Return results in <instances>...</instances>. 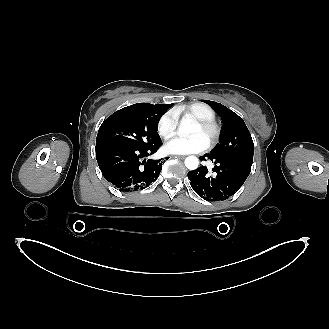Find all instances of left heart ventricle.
Returning a JSON list of instances; mask_svg holds the SVG:
<instances>
[{"instance_id": "b2bd125f", "label": "left heart ventricle", "mask_w": 329, "mask_h": 329, "mask_svg": "<svg viewBox=\"0 0 329 329\" xmlns=\"http://www.w3.org/2000/svg\"><path fill=\"white\" fill-rule=\"evenodd\" d=\"M189 135H200L201 137H203L207 142L209 141L210 135L208 132L202 130L198 125L193 124L190 131H189Z\"/></svg>"}]
</instances>
